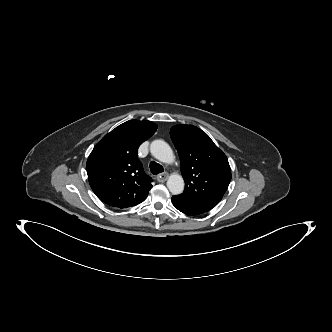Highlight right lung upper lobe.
<instances>
[{
  "mask_svg": "<svg viewBox=\"0 0 332 332\" xmlns=\"http://www.w3.org/2000/svg\"><path fill=\"white\" fill-rule=\"evenodd\" d=\"M156 129L151 121L129 120L95 145L86 168L90 186L101 201L120 209L144 201L152 180L144 173L137 150Z\"/></svg>",
  "mask_w": 332,
  "mask_h": 332,
  "instance_id": "cb5924a9",
  "label": "right lung upper lobe"
}]
</instances>
